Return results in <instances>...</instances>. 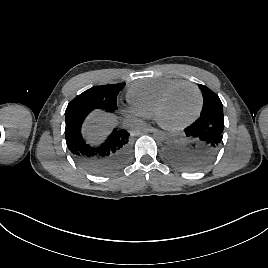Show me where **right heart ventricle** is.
Masks as SVG:
<instances>
[{
    "instance_id": "e07e8e85",
    "label": "right heart ventricle",
    "mask_w": 268,
    "mask_h": 268,
    "mask_svg": "<svg viewBox=\"0 0 268 268\" xmlns=\"http://www.w3.org/2000/svg\"><path fill=\"white\" fill-rule=\"evenodd\" d=\"M181 82L184 81L172 78L139 80L129 87L127 98L131 106L140 110L149 118L154 115L155 107L162 95Z\"/></svg>"
}]
</instances>
